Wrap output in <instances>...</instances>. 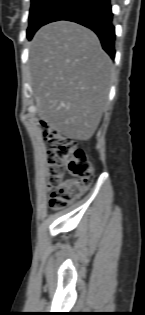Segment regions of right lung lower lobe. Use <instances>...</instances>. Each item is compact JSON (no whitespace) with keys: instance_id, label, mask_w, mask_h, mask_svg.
Listing matches in <instances>:
<instances>
[{"instance_id":"right-lung-lower-lobe-1","label":"right lung lower lobe","mask_w":145,"mask_h":315,"mask_svg":"<svg viewBox=\"0 0 145 315\" xmlns=\"http://www.w3.org/2000/svg\"><path fill=\"white\" fill-rule=\"evenodd\" d=\"M112 19L110 0H66L43 25L58 20L84 25L98 35L103 49L114 58L115 28Z\"/></svg>"}]
</instances>
